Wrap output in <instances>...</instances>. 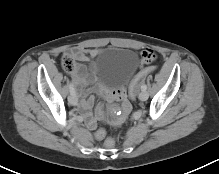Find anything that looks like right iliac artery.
<instances>
[{
    "mask_svg": "<svg viewBox=\"0 0 219 174\" xmlns=\"http://www.w3.org/2000/svg\"><path fill=\"white\" fill-rule=\"evenodd\" d=\"M69 89H70V94L76 95V94H75V88H74V85H73L72 82H70V84H69Z\"/></svg>",
    "mask_w": 219,
    "mask_h": 174,
    "instance_id": "obj_1",
    "label": "right iliac artery"
}]
</instances>
